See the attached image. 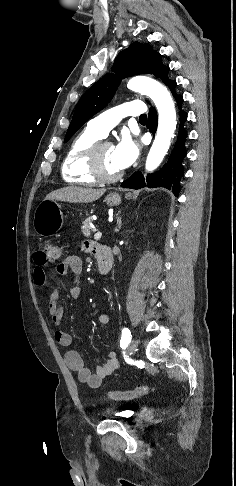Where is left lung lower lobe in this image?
Listing matches in <instances>:
<instances>
[{"instance_id": "1", "label": "left lung lower lobe", "mask_w": 236, "mask_h": 486, "mask_svg": "<svg viewBox=\"0 0 236 486\" xmlns=\"http://www.w3.org/2000/svg\"><path fill=\"white\" fill-rule=\"evenodd\" d=\"M164 83L170 88L174 98L176 99L179 109H181L183 97L176 94L175 92L176 81L168 79ZM186 120L187 114L184 111L180 110V126L175 146L169 156L167 163H165L163 167L155 174L147 176V184H145L142 174L140 172H136L121 184L122 187L131 189H139L145 186H148L150 188L165 187L172 190L175 196H178L179 182L180 178L183 176L184 171L182 166V159L186 156L184 143L186 141L187 132L183 127ZM147 128L150 130V132L155 134L157 128V113L154 107L150 108Z\"/></svg>"}]
</instances>
